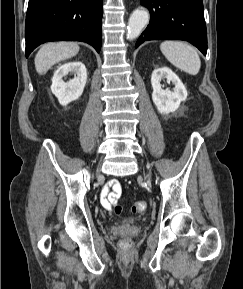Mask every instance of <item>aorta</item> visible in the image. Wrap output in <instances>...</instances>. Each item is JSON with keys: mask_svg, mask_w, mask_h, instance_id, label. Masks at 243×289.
Returning a JSON list of instances; mask_svg holds the SVG:
<instances>
[{"mask_svg": "<svg viewBox=\"0 0 243 289\" xmlns=\"http://www.w3.org/2000/svg\"><path fill=\"white\" fill-rule=\"evenodd\" d=\"M149 22V13L146 10L137 9L135 10L128 21L127 27V39L134 40L137 38L142 29Z\"/></svg>", "mask_w": 243, "mask_h": 289, "instance_id": "aorta-1", "label": "aorta"}]
</instances>
